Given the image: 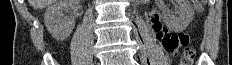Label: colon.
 <instances>
[{
	"instance_id": "5ec220e1",
	"label": "colon",
	"mask_w": 232,
	"mask_h": 65,
	"mask_svg": "<svg viewBox=\"0 0 232 65\" xmlns=\"http://www.w3.org/2000/svg\"><path fill=\"white\" fill-rule=\"evenodd\" d=\"M194 5L198 10H201L206 0H194ZM189 45V37L184 33L168 32L163 36L162 46L169 54H176L180 49L187 48ZM193 51L186 49L185 56L181 60V65H192Z\"/></svg>"
}]
</instances>
